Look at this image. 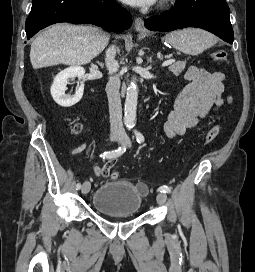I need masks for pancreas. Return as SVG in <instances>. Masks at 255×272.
Returning a JSON list of instances; mask_svg holds the SVG:
<instances>
[{"label": "pancreas", "mask_w": 255, "mask_h": 272, "mask_svg": "<svg viewBox=\"0 0 255 272\" xmlns=\"http://www.w3.org/2000/svg\"><path fill=\"white\" fill-rule=\"evenodd\" d=\"M169 71H171L174 75L178 76L185 69V62L178 61L169 65Z\"/></svg>", "instance_id": "1"}]
</instances>
